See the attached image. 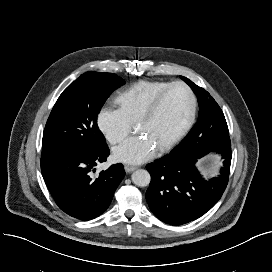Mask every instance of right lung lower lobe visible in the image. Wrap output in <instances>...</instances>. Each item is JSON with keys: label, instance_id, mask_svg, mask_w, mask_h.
<instances>
[{"label": "right lung lower lobe", "instance_id": "98d812e1", "mask_svg": "<svg viewBox=\"0 0 272 272\" xmlns=\"http://www.w3.org/2000/svg\"><path fill=\"white\" fill-rule=\"evenodd\" d=\"M108 156L107 145L91 151H42V175L62 211L80 220H90L108 208L125 175L123 165L115 164L93 177L95 166L105 162Z\"/></svg>", "mask_w": 272, "mask_h": 272}]
</instances>
